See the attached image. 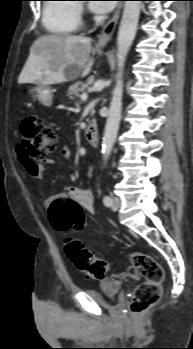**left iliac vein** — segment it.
Instances as JSON below:
<instances>
[{
	"label": "left iliac vein",
	"mask_w": 193,
	"mask_h": 349,
	"mask_svg": "<svg viewBox=\"0 0 193 349\" xmlns=\"http://www.w3.org/2000/svg\"><path fill=\"white\" fill-rule=\"evenodd\" d=\"M120 207V199L118 197H113L112 198V204H111V208L116 211L118 210Z\"/></svg>",
	"instance_id": "1"
}]
</instances>
